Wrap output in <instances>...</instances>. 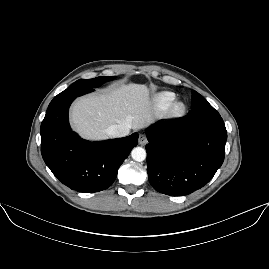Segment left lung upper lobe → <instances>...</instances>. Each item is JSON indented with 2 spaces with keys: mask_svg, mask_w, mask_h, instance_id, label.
Listing matches in <instances>:
<instances>
[{
  "mask_svg": "<svg viewBox=\"0 0 269 269\" xmlns=\"http://www.w3.org/2000/svg\"><path fill=\"white\" fill-rule=\"evenodd\" d=\"M220 114L198 92L192 91V107L186 117L187 120H198Z\"/></svg>",
  "mask_w": 269,
  "mask_h": 269,
  "instance_id": "obj_1",
  "label": "left lung upper lobe"
}]
</instances>
